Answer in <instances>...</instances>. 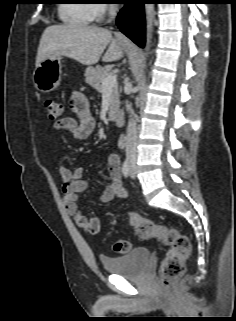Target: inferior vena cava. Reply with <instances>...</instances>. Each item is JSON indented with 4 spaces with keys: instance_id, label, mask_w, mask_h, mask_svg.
<instances>
[{
    "instance_id": "1",
    "label": "inferior vena cava",
    "mask_w": 236,
    "mask_h": 321,
    "mask_svg": "<svg viewBox=\"0 0 236 321\" xmlns=\"http://www.w3.org/2000/svg\"><path fill=\"white\" fill-rule=\"evenodd\" d=\"M109 14L113 18L116 14V10L113 6L109 8ZM136 145H137V127L135 120L130 117L127 126V136H126V155L130 158L136 157Z\"/></svg>"
}]
</instances>
